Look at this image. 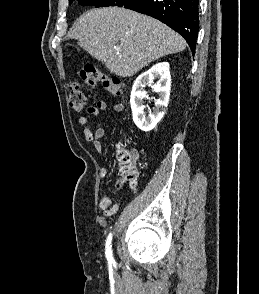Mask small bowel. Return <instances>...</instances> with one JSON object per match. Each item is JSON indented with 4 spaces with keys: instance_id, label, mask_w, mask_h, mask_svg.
Masks as SVG:
<instances>
[{
    "instance_id": "small-bowel-1",
    "label": "small bowel",
    "mask_w": 259,
    "mask_h": 294,
    "mask_svg": "<svg viewBox=\"0 0 259 294\" xmlns=\"http://www.w3.org/2000/svg\"><path fill=\"white\" fill-rule=\"evenodd\" d=\"M108 104L104 100H99L95 103L94 106H91L88 108V114L91 116H97L101 112L107 110ZM116 110H122L121 105H117L115 107ZM78 123L84 128V137L87 141L92 142L95 150L98 153L102 152V139L104 137V129L103 128H97L94 131H91L88 127V119L87 117H80L78 119ZM132 158L134 161L138 159V154L134 152L132 154ZM99 175L101 178H106L108 176V170L106 168H101L99 171ZM125 182V178L121 177L119 178L118 182L116 183L115 189L117 191H120L123 184ZM100 209L102 210L103 214L105 216H111L118 210V205L113 204L112 199L110 197H103L100 201Z\"/></svg>"
}]
</instances>
